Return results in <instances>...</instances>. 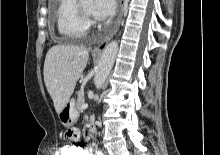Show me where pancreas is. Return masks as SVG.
I'll list each match as a JSON object with an SVG mask.
<instances>
[{
  "label": "pancreas",
  "instance_id": "pancreas-1",
  "mask_svg": "<svg viewBox=\"0 0 220 155\" xmlns=\"http://www.w3.org/2000/svg\"><path fill=\"white\" fill-rule=\"evenodd\" d=\"M85 104V98H84V92L80 91L78 92L77 102H76V108L78 110H82V105Z\"/></svg>",
  "mask_w": 220,
  "mask_h": 155
}]
</instances>
